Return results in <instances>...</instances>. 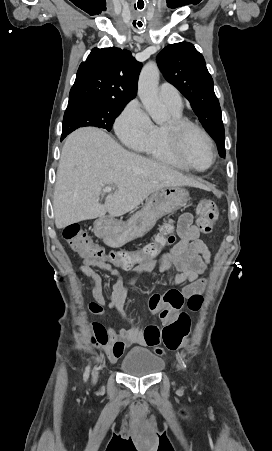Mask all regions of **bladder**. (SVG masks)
Returning a JSON list of instances; mask_svg holds the SVG:
<instances>
[{
    "mask_svg": "<svg viewBox=\"0 0 272 451\" xmlns=\"http://www.w3.org/2000/svg\"><path fill=\"white\" fill-rule=\"evenodd\" d=\"M164 367V360L145 347H133L121 360L120 368L124 375L141 376L155 375Z\"/></svg>",
    "mask_w": 272,
    "mask_h": 451,
    "instance_id": "1",
    "label": "bladder"
}]
</instances>
